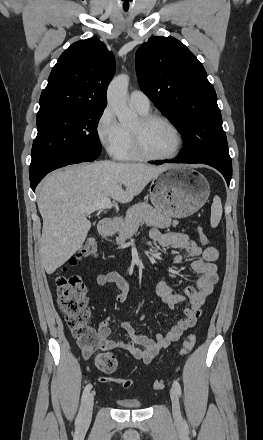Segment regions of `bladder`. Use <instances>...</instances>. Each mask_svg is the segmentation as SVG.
I'll use <instances>...</instances> for the list:
<instances>
[{
	"mask_svg": "<svg viewBox=\"0 0 263 440\" xmlns=\"http://www.w3.org/2000/svg\"><path fill=\"white\" fill-rule=\"evenodd\" d=\"M117 404L124 409H141L143 404L137 399H119Z\"/></svg>",
	"mask_w": 263,
	"mask_h": 440,
	"instance_id": "bladder-1",
	"label": "bladder"
}]
</instances>
